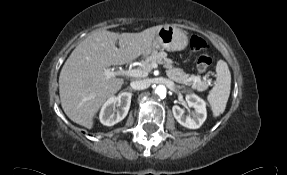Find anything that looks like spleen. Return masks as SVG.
<instances>
[{
  "label": "spleen",
  "mask_w": 287,
  "mask_h": 175,
  "mask_svg": "<svg viewBox=\"0 0 287 175\" xmlns=\"http://www.w3.org/2000/svg\"><path fill=\"white\" fill-rule=\"evenodd\" d=\"M216 73V82L207 97L214 117L224 112L231 90V73L224 60L217 62Z\"/></svg>",
  "instance_id": "spleen-1"
}]
</instances>
